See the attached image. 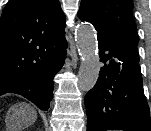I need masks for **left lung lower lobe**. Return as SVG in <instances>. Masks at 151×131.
I'll use <instances>...</instances> for the list:
<instances>
[{
  "label": "left lung lower lobe",
  "instance_id": "1",
  "mask_svg": "<svg viewBox=\"0 0 151 131\" xmlns=\"http://www.w3.org/2000/svg\"><path fill=\"white\" fill-rule=\"evenodd\" d=\"M98 46L104 66L85 96L87 131H151L139 64L99 36Z\"/></svg>",
  "mask_w": 151,
  "mask_h": 131
}]
</instances>
